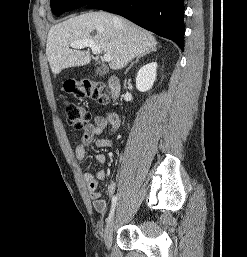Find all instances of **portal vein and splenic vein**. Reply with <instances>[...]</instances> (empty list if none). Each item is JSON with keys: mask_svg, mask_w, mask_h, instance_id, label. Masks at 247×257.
I'll return each instance as SVG.
<instances>
[{"mask_svg": "<svg viewBox=\"0 0 247 257\" xmlns=\"http://www.w3.org/2000/svg\"><path fill=\"white\" fill-rule=\"evenodd\" d=\"M70 46L72 48H77V49L90 47L92 52L96 55H99L102 52L100 47L95 42H93L92 40H88V39L75 41V42L71 43ZM111 59L112 58L110 55H104V57H103V60L107 61V62L111 61Z\"/></svg>", "mask_w": 247, "mask_h": 257, "instance_id": "obj_1", "label": "portal vein and splenic vein"}]
</instances>
